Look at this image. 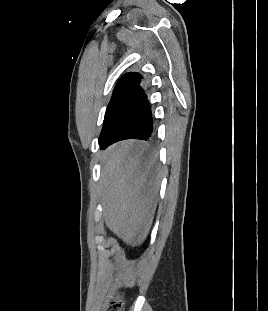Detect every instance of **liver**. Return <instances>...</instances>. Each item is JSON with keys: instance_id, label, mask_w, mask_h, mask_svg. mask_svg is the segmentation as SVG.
I'll return each instance as SVG.
<instances>
[{"instance_id": "1", "label": "liver", "mask_w": 268, "mask_h": 311, "mask_svg": "<svg viewBox=\"0 0 268 311\" xmlns=\"http://www.w3.org/2000/svg\"><path fill=\"white\" fill-rule=\"evenodd\" d=\"M160 174L143 142L127 140L103 153L100 196L106 226L127 245L141 244L152 226Z\"/></svg>"}]
</instances>
